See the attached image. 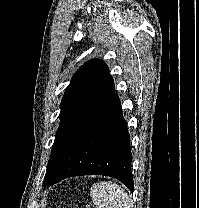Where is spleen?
<instances>
[{
	"instance_id": "3e777b00",
	"label": "spleen",
	"mask_w": 199,
	"mask_h": 208,
	"mask_svg": "<svg viewBox=\"0 0 199 208\" xmlns=\"http://www.w3.org/2000/svg\"><path fill=\"white\" fill-rule=\"evenodd\" d=\"M91 197L96 208H130L127 193L116 183L99 182L91 187Z\"/></svg>"
}]
</instances>
